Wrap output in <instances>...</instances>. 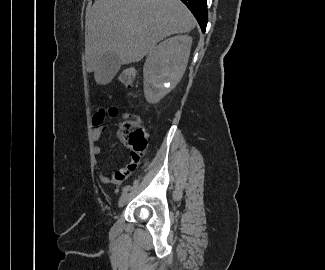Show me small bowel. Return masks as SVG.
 I'll return each instance as SVG.
<instances>
[{
  "label": "small bowel",
  "mask_w": 325,
  "mask_h": 270,
  "mask_svg": "<svg viewBox=\"0 0 325 270\" xmlns=\"http://www.w3.org/2000/svg\"><path fill=\"white\" fill-rule=\"evenodd\" d=\"M109 119H116L119 116V109L116 106H111L107 109H101L95 119V124L91 130V138L93 142H98L103 133V127L100 125L104 117ZM101 147L99 145L93 146V155L98 158L101 155ZM134 168H128L127 166L119 168L115 171L113 177H109L105 173L99 170V179L104 184H120L123 179H125Z\"/></svg>",
  "instance_id": "small-bowel-1"
}]
</instances>
